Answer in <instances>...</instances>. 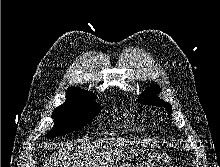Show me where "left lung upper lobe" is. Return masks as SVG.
Listing matches in <instances>:
<instances>
[{"mask_svg":"<svg viewBox=\"0 0 220 167\" xmlns=\"http://www.w3.org/2000/svg\"><path fill=\"white\" fill-rule=\"evenodd\" d=\"M161 92L158 85H152L145 89L144 93L138 98L140 103L145 105L165 107L168 110V114L172 113V108L169 103L160 99L157 94Z\"/></svg>","mask_w":220,"mask_h":167,"instance_id":"1","label":"left lung upper lobe"}]
</instances>
